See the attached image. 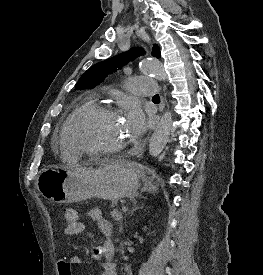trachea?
Returning <instances> with one entry per match:
<instances>
[{"label":"trachea","instance_id":"1","mask_svg":"<svg viewBox=\"0 0 263 275\" xmlns=\"http://www.w3.org/2000/svg\"><path fill=\"white\" fill-rule=\"evenodd\" d=\"M153 99H160L159 94L154 95Z\"/></svg>","mask_w":263,"mask_h":275}]
</instances>
